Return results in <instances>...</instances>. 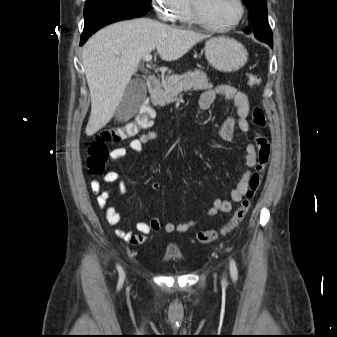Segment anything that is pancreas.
Returning a JSON list of instances; mask_svg holds the SVG:
<instances>
[{"label":"pancreas","mask_w":337,"mask_h":337,"mask_svg":"<svg viewBox=\"0 0 337 337\" xmlns=\"http://www.w3.org/2000/svg\"><path fill=\"white\" fill-rule=\"evenodd\" d=\"M212 87L206 73L195 69L182 75L162 77L161 84L151 93V101L154 105L164 106L174 102L182 91H197Z\"/></svg>","instance_id":"pancreas-1"}]
</instances>
